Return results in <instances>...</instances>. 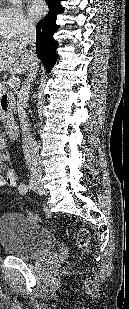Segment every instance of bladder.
I'll return each mask as SVG.
<instances>
[{"instance_id": "31cf9c89", "label": "bladder", "mask_w": 129, "mask_h": 309, "mask_svg": "<svg viewBox=\"0 0 129 309\" xmlns=\"http://www.w3.org/2000/svg\"><path fill=\"white\" fill-rule=\"evenodd\" d=\"M54 235L26 214L10 212L0 216V245L10 255L35 259L55 247Z\"/></svg>"}]
</instances>
